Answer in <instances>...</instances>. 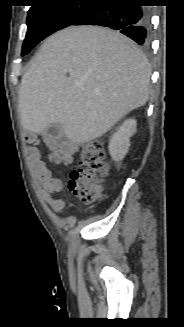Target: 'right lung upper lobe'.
I'll return each mask as SVG.
<instances>
[{
    "label": "right lung upper lobe",
    "instance_id": "right-lung-upper-lobe-1",
    "mask_svg": "<svg viewBox=\"0 0 184 327\" xmlns=\"http://www.w3.org/2000/svg\"><path fill=\"white\" fill-rule=\"evenodd\" d=\"M35 3H41V2H46V1H51V0H33ZM33 7V6H32Z\"/></svg>",
    "mask_w": 184,
    "mask_h": 327
}]
</instances>
